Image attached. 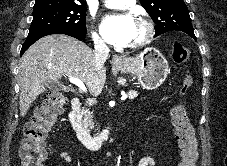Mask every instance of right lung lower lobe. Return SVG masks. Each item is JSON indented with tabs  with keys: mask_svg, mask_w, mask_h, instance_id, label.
<instances>
[{
	"mask_svg": "<svg viewBox=\"0 0 227 166\" xmlns=\"http://www.w3.org/2000/svg\"><path fill=\"white\" fill-rule=\"evenodd\" d=\"M51 34H65V35H69L72 37H75L79 40H83L86 36V34L84 33H77V32H73V31H68V30H51V31H46L43 33H40L36 36H32V37H27L25 43L22 46L20 55H22L28 48L30 45H32L34 42H36L38 39L47 36V35H51Z\"/></svg>",
	"mask_w": 227,
	"mask_h": 166,
	"instance_id": "obj_1",
	"label": "right lung lower lobe"
}]
</instances>
